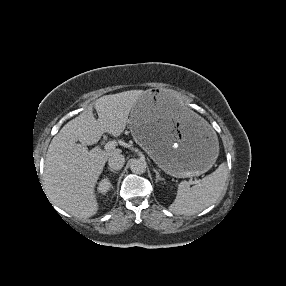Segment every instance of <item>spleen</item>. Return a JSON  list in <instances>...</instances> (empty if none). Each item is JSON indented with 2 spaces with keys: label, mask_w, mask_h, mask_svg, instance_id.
Here are the masks:
<instances>
[{
  "label": "spleen",
  "mask_w": 286,
  "mask_h": 286,
  "mask_svg": "<svg viewBox=\"0 0 286 286\" xmlns=\"http://www.w3.org/2000/svg\"><path fill=\"white\" fill-rule=\"evenodd\" d=\"M227 173V165L222 163L198 185L190 187L187 181L180 182L177 196L169 206L170 211L179 215H193L211 206L224 189Z\"/></svg>",
  "instance_id": "3e777b00"
}]
</instances>
